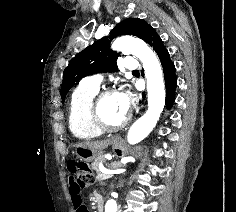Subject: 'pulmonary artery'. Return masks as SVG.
Here are the masks:
<instances>
[{
    "instance_id": "obj_1",
    "label": "pulmonary artery",
    "mask_w": 236,
    "mask_h": 212,
    "mask_svg": "<svg viewBox=\"0 0 236 212\" xmlns=\"http://www.w3.org/2000/svg\"><path fill=\"white\" fill-rule=\"evenodd\" d=\"M125 67L127 70L134 71L139 67V63L135 59H128L125 62ZM101 82H102V77L99 75L89 76L83 80V83L85 85L97 88H99Z\"/></svg>"
}]
</instances>
